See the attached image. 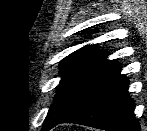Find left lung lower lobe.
I'll use <instances>...</instances> for the list:
<instances>
[{
    "label": "left lung lower lobe",
    "instance_id": "obj_1",
    "mask_svg": "<svg viewBox=\"0 0 147 131\" xmlns=\"http://www.w3.org/2000/svg\"><path fill=\"white\" fill-rule=\"evenodd\" d=\"M128 86V79L120 74L119 69L61 123L81 124L105 131H140Z\"/></svg>",
    "mask_w": 147,
    "mask_h": 131
}]
</instances>
